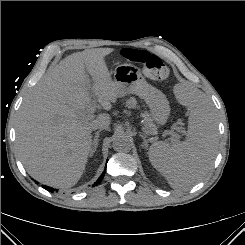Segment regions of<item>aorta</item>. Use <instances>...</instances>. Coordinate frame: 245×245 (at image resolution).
Returning a JSON list of instances; mask_svg holds the SVG:
<instances>
[{"label":"aorta","mask_w":245,"mask_h":245,"mask_svg":"<svg viewBox=\"0 0 245 245\" xmlns=\"http://www.w3.org/2000/svg\"><path fill=\"white\" fill-rule=\"evenodd\" d=\"M113 148L119 152H128L131 150V141L127 136L119 135L113 141Z\"/></svg>","instance_id":"aorta-1"}]
</instances>
